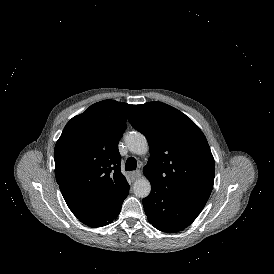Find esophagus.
I'll use <instances>...</instances> for the list:
<instances>
[{"label":"esophagus","instance_id":"obj_1","mask_svg":"<svg viewBox=\"0 0 274 274\" xmlns=\"http://www.w3.org/2000/svg\"><path fill=\"white\" fill-rule=\"evenodd\" d=\"M129 177L131 178V180L138 179L139 177H141V171L136 170V171L130 172Z\"/></svg>","mask_w":274,"mask_h":274}]
</instances>
